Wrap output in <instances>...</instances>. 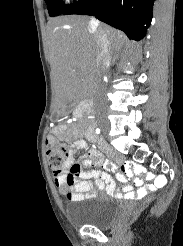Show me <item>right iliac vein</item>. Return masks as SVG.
I'll use <instances>...</instances> for the list:
<instances>
[{
    "label": "right iliac vein",
    "instance_id": "63e3f726",
    "mask_svg": "<svg viewBox=\"0 0 183 246\" xmlns=\"http://www.w3.org/2000/svg\"><path fill=\"white\" fill-rule=\"evenodd\" d=\"M100 127L102 129V131L107 134L109 131V124L107 122H101L100 123Z\"/></svg>",
    "mask_w": 183,
    "mask_h": 246
}]
</instances>
